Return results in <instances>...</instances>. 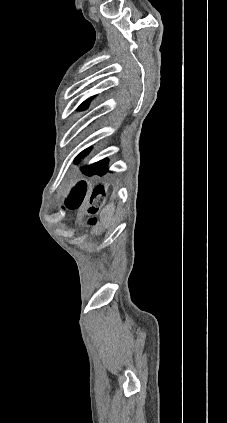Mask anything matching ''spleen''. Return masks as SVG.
I'll return each instance as SVG.
<instances>
[{"label":"spleen","instance_id":"spleen-1","mask_svg":"<svg viewBox=\"0 0 227 423\" xmlns=\"http://www.w3.org/2000/svg\"><path fill=\"white\" fill-rule=\"evenodd\" d=\"M114 204H111V206H108V208H105L104 211H102L104 217H102V223L105 225V227H108L110 223H112L113 215H114Z\"/></svg>","mask_w":227,"mask_h":423}]
</instances>
